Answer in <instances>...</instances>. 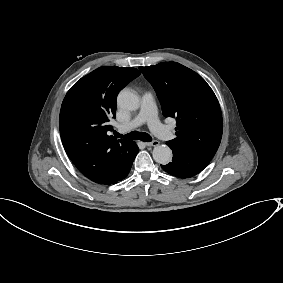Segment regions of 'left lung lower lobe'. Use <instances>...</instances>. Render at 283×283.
Instances as JSON below:
<instances>
[{"instance_id": "left-lung-lower-lobe-1", "label": "left lung lower lobe", "mask_w": 283, "mask_h": 283, "mask_svg": "<svg viewBox=\"0 0 283 283\" xmlns=\"http://www.w3.org/2000/svg\"><path fill=\"white\" fill-rule=\"evenodd\" d=\"M170 148L173 151L172 162L167 165H161V167L164 171L173 176L179 178H189L195 176L196 174L200 173L210 162V160L207 158L200 157L171 146Z\"/></svg>"}]
</instances>
